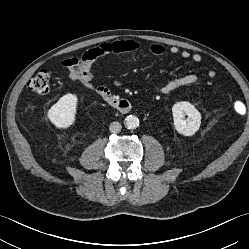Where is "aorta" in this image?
<instances>
[{
	"label": "aorta",
	"mask_w": 249,
	"mask_h": 249,
	"mask_svg": "<svg viewBox=\"0 0 249 249\" xmlns=\"http://www.w3.org/2000/svg\"><path fill=\"white\" fill-rule=\"evenodd\" d=\"M124 124L128 129H136L139 126V119L137 116L129 115L126 117Z\"/></svg>",
	"instance_id": "obj_1"
}]
</instances>
